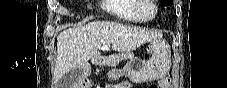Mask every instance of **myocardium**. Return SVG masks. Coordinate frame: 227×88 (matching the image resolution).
<instances>
[{
	"mask_svg": "<svg viewBox=\"0 0 227 88\" xmlns=\"http://www.w3.org/2000/svg\"><path fill=\"white\" fill-rule=\"evenodd\" d=\"M145 8H150L152 12L145 14ZM136 13L142 21H152L158 15V7L154 0H137Z\"/></svg>",
	"mask_w": 227,
	"mask_h": 88,
	"instance_id": "myocardium-1",
	"label": "myocardium"
}]
</instances>
